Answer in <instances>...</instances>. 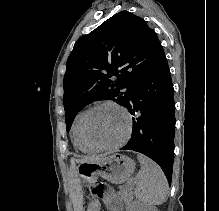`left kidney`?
Masks as SVG:
<instances>
[{
  "label": "left kidney",
  "mask_w": 219,
  "mask_h": 211,
  "mask_svg": "<svg viewBox=\"0 0 219 211\" xmlns=\"http://www.w3.org/2000/svg\"><path fill=\"white\" fill-rule=\"evenodd\" d=\"M133 211H157V207H149L143 203H133Z\"/></svg>",
  "instance_id": "left-kidney-1"
}]
</instances>
